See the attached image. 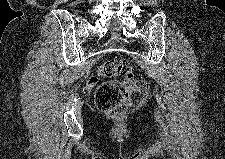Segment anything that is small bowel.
Segmentation results:
<instances>
[{"label": "small bowel", "instance_id": "obj_1", "mask_svg": "<svg viewBox=\"0 0 225 159\" xmlns=\"http://www.w3.org/2000/svg\"><path fill=\"white\" fill-rule=\"evenodd\" d=\"M96 82H97V79H96V78H90V79L87 81V83H86V87H87L88 89H91V88L94 87V85L96 84Z\"/></svg>", "mask_w": 225, "mask_h": 159}]
</instances>
